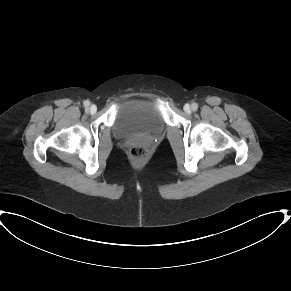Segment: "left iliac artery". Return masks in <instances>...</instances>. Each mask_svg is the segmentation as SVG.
<instances>
[{"mask_svg":"<svg viewBox=\"0 0 291 291\" xmlns=\"http://www.w3.org/2000/svg\"><path fill=\"white\" fill-rule=\"evenodd\" d=\"M191 109H192L193 111H197V109H198V105H197L196 103H193V104L191 105Z\"/></svg>","mask_w":291,"mask_h":291,"instance_id":"left-iliac-artery-1","label":"left iliac artery"}]
</instances>
